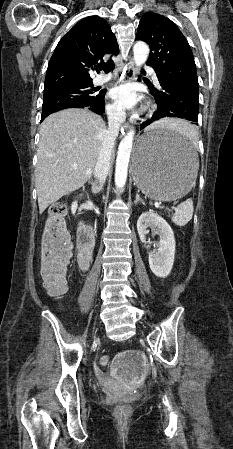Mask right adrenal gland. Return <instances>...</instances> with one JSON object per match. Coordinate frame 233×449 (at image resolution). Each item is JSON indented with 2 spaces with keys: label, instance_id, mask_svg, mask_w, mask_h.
Returning a JSON list of instances; mask_svg holds the SVG:
<instances>
[{
  "label": "right adrenal gland",
  "instance_id": "1",
  "mask_svg": "<svg viewBox=\"0 0 233 449\" xmlns=\"http://www.w3.org/2000/svg\"><path fill=\"white\" fill-rule=\"evenodd\" d=\"M88 183L91 184V191L93 194H97L102 189V185L101 184L98 185L93 180H89Z\"/></svg>",
  "mask_w": 233,
  "mask_h": 449
}]
</instances>
